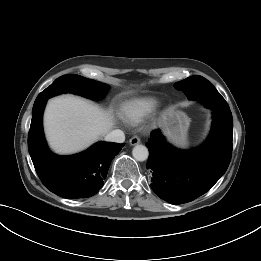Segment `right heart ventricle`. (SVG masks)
<instances>
[{"label": "right heart ventricle", "mask_w": 261, "mask_h": 261, "mask_svg": "<svg viewBox=\"0 0 261 261\" xmlns=\"http://www.w3.org/2000/svg\"><path fill=\"white\" fill-rule=\"evenodd\" d=\"M157 106L153 98H140L126 103L121 109V117L128 124H137L151 114Z\"/></svg>", "instance_id": "obj_1"}]
</instances>
